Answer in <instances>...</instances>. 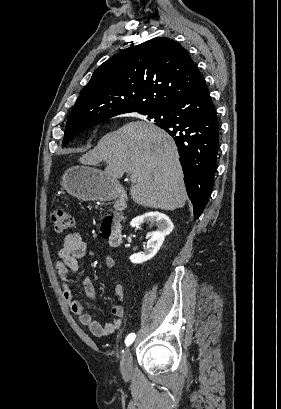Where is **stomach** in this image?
<instances>
[{"label": "stomach", "instance_id": "1", "mask_svg": "<svg viewBox=\"0 0 281 409\" xmlns=\"http://www.w3.org/2000/svg\"><path fill=\"white\" fill-rule=\"evenodd\" d=\"M61 184L79 200H112L117 198L121 184L92 166H71L65 170Z\"/></svg>", "mask_w": 281, "mask_h": 409}]
</instances>
